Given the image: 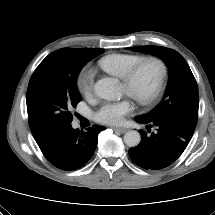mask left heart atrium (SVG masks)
<instances>
[{
  "mask_svg": "<svg viewBox=\"0 0 215 215\" xmlns=\"http://www.w3.org/2000/svg\"><path fill=\"white\" fill-rule=\"evenodd\" d=\"M133 110V105L128 98L116 102H106L95 112L96 121L107 125H118L125 115Z\"/></svg>",
  "mask_w": 215,
  "mask_h": 215,
  "instance_id": "1",
  "label": "left heart atrium"
}]
</instances>
